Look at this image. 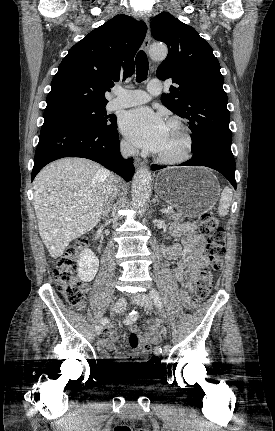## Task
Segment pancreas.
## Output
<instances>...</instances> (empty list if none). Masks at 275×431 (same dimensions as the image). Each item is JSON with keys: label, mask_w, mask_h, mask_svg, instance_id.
I'll list each match as a JSON object with an SVG mask.
<instances>
[{"label": "pancreas", "mask_w": 275, "mask_h": 431, "mask_svg": "<svg viewBox=\"0 0 275 431\" xmlns=\"http://www.w3.org/2000/svg\"><path fill=\"white\" fill-rule=\"evenodd\" d=\"M167 218L172 219L174 221H182L184 218V215L178 212L171 211L170 213L166 214Z\"/></svg>", "instance_id": "obj_1"}]
</instances>
